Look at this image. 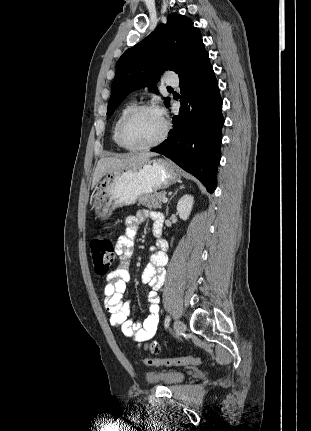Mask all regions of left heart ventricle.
Wrapping results in <instances>:
<instances>
[{
	"instance_id": "1",
	"label": "left heart ventricle",
	"mask_w": 311,
	"mask_h": 431,
	"mask_svg": "<svg viewBox=\"0 0 311 431\" xmlns=\"http://www.w3.org/2000/svg\"><path fill=\"white\" fill-rule=\"evenodd\" d=\"M163 131V118L157 110H145L133 117L125 128L131 145L140 146L155 140Z\"/></svg>"
}]
</instances>
